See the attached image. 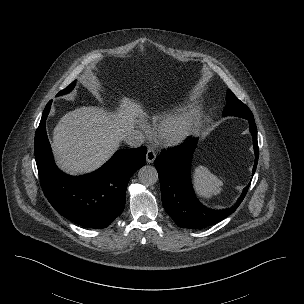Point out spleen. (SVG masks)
Segmentation results:
<instances>
[{
    "mask_svg": "<svg viewBox=\"0 0 304 304\" xmlns=\"http://www.w3.org/2000/svg\"><path fill=\"white\" fill-rule=\"evenodd\" d=\"M193 184L197 195L201 198H211L221 192L223 181L213 175L207 168L199 166L193 172Z\"/></svg>",
    "mask_w": 304,
    "mask_h": 304,
    "instance_id": "1",
    "label": "spleen"
}]
</instances>
